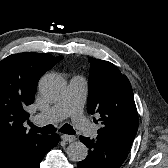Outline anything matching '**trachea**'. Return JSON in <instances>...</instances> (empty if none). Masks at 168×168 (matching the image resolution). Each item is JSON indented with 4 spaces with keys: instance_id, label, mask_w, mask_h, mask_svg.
I'll list each match as a JSON object with an SVG mask.
<instances>
[{
    "instance_id": "obj_1",
    "label": "trachea",
    "mask_w": 168,
    "mask_h": 168,
    "mask_svg": "<svg viewBox=\"0 0 168 168\" xmlns=\"http://www.w3.org/2000/svg\"><path fill=\"white\" fill-rule=\"evenodd\" d=\"M29 125H30L32 130H34L36 132H39L41 134H52V133L57 131V128H55L53 125H47L43 128L37 127V126L33 125L32 123H29ZM60 131L62 133L69 134V135H74L75 134V131H74L73 127L69 124L63 125L60 128Z\"/></svg>"
}]
</instances>
